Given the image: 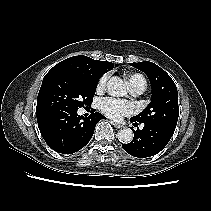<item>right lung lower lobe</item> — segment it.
<instances>
[{"instance_id": "right-lung-lower-lobe-1", "label": "right lung lower lobe", "mask_w": 211, "mask_h": 211, "mask_svg": "<svg viewBox=\"0 0 211 211\" xmlns=\"http://www.w3.org/2000/svg\"><path fill=\"white\" fill-rule=\"evenodd\" d=\"M105 118L99 112L88 118L77 114V110L50 109L37 112L38 127L50 148L72 154L82 149L93 136L97 122Z\"/></svg>"}]
</instances>
